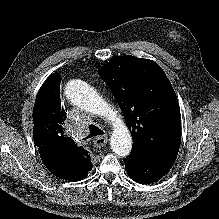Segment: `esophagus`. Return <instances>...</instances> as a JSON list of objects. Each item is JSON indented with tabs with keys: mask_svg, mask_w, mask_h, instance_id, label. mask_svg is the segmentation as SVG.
<instances>
[{
	"mask_svg": "<svg viewBox=\"0 0 219 219\" xmlns=\"http://www.w3.org/2000/svg\"><path fill=\"white\" fill-rule=\"evenodd\" d=\"M108 142V136L104 135V136H97L94 139V147L96 148H101L103 146H105Z\"/></svg>",
	"mask_w": 219,
	"mask_h": 219,
	"instance_id": "obj_1",
	"label": "esophagus"
}]
</instances>
